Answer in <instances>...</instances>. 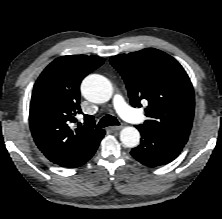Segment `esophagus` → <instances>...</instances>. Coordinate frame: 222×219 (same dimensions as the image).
Returning <instances> with one entry per match:
<instances>
[{
    "instance_id": "34e87169",
    "label": "esophagus",
    "mask_w": 222,
    "mask_h": 219,
    "mask_svg": "<svg viewBox=\"0 0 222 219\" xmlns=\"http://www.w3.org/2000/svg\"><path fill=\"white\" fill-rule=\"evenodd\" d=\"M123 127H124L123 125H120V126H111L110 129L115 131V130H120V129H122Z\"/></svg>"
}]
</instances>
